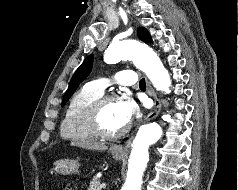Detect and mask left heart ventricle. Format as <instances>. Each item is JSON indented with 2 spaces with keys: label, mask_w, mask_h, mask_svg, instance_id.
<instances>
[{
  "label": "left heart ventricle",
  "mask_w": 238,
  "mask_h": 190,
  "mask_svg": "<svg viewBox=\"0 0 238 190\" xmlns=\"http://www.w3.org/2000/svg\"><path fill=\"white\" fill-rule=\"evenodd\" d=\"M101 122L108 131H117L128 123L122 115L119 100L108 102L105 105L101 114Z\"/></svg>",
  "instance_id": "1"
}]
</instances>
